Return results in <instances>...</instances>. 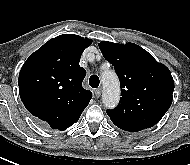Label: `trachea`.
Listing matches in <instances>:
<instances>
[{
    "mask_svg": "<svg viewBox=\"0 0 190 165\" xmlns=\"http://www.w3.org/2000/svg\"><path fill=\"white\" fill-rule=\"evenodd\" d=\"M100 80L99 77L97 75H92L89 79V85L92 88H97L99 86Z\"/></svg>",
    "mask_w": 190,
    "mask_h": 165,
    "instance_id": "obj_1",
    "label": "trachea"
}]
</instances>
